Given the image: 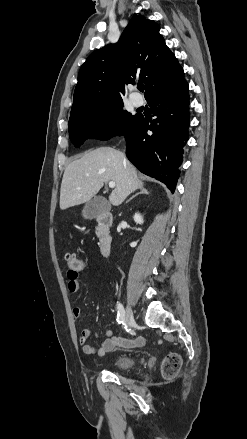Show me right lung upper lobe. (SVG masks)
Returning a JSON list of instances; mask_svg holds the SVG:
<instances>
[{
	"instance_id": "obj_1",
	"label": "right lung upper lobe",
	"mask_w": 247,
	"mask_h": 439,
	"mask_svg": "<svg viewBox=\"0 0 247 439\" xmlns=\"http://www.w3.org/2000/svg\"><path fill=\"white\" fill-rule=\"evenodd\" d=\"M159 30L136 16L118 43L92 52L80 68L70 117L122 101L126 86L136 81L146 85V100L184 83L183 68Z\"/></svg>"
}]
</instances>
